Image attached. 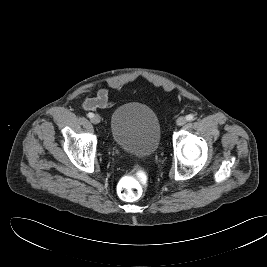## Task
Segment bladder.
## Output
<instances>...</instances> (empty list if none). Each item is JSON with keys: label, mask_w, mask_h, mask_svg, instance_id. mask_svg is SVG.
<instances>
[{"label": "bladder", "mask_w": 267, "mask_h": 267, "mask_svg": "<svg viewBox=\"0 0 267 267\" xmlns=\"http://www.w3.org/2000/svg\"><path fill=\"white\" fill-rule=\"evenodd\" d=\"M110 136L114 144L125 152L137 158H148L160 145V121L148 105L126 102L112 113Z\"/></svg>", "instance_id": "bladder-1"}]
</instances>
